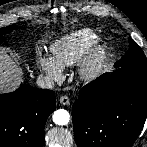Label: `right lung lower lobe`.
Returning <instances> with one entry per match:
<instances>
[{"mask_svg": "<svg viewBox=\"0 0 147 147\" xmlns=\"http://www.w3.org/2000/svg\"><path fill=\"white\" fill-rule=\"evenodd\" d=\"M55 108L54 91L28 84L0 95V147H43L45 123Z\"/></svg>", "mask_w": 147, "mask_h": 147, "instance_id": "obj_1", "label": "right lung lower lobe"}]
</instances>
